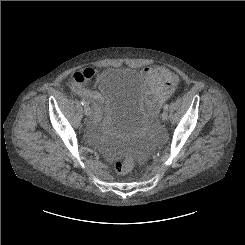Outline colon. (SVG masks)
Here are the masks:
<instances>
[{
    "instance_id": "obj_1",
    "label": "colon",
    "mask_w": 245,
    "mask_h": 245,
    "mask_svg": "<svg viewBox=\"0 0 245 245\" xmlns=\"http://www.w3.org/2000/svg\"><path fill=\"white\" fill-rule=\"evenodd\" d=\"M86 78H79L80 81H83ZM134 166V159L131 155H125L118 158L114 163V170L118 174H127L129 173Z\"/></svg>"
}]
</instances>
